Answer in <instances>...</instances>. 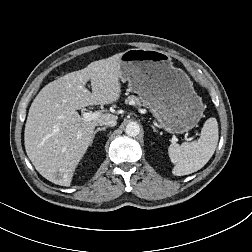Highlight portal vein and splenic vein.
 Wrapping results in <instances>:
<instances>
[{
	"instance_id": "1",
	"label": "portal vein and splenic vein",
	"mask_w": 252,
	"mask_h": 252,
	"mask_svg": "<svg viewBox=\"0 0 252 252\" xmlns=\"http://www.w3.org/2000/svg\"><path fill=\"white\" fill-rule=\"evenodd\" d=\"M100 115L99 112H84L83 113V120L84 121H91L96 119Z\"/></svg>"
}]
</instances>
